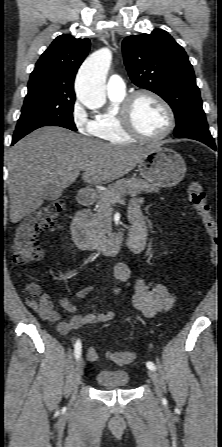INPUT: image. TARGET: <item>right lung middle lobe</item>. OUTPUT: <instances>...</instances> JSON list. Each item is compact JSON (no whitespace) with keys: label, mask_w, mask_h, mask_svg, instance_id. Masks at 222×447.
Wrapping results in <instances>:
<instances>
[{"label":"right lung middle lobe","mask_w":222,"mask_h":447,"mask_svg":"<svg viewBox=\"0 0 222 447\" xmlns=\"http://www.w3.org/2000/svg\"><path fill=\"white\" fill-rule=\"evenodd\" d=\"M74 101V95L56 92L47 85L28 88L13 139L19 140L42 126L76 131L72 116Z\"/></svg>","instance_id":"right-lung-middle-lobe-1"}]
</instances>
